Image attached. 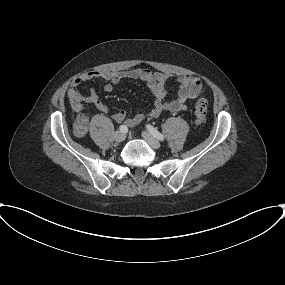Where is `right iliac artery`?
<instances>
[{
	"mask_svg": "<svg viewBox=\"0 0 285 285\" xmlns=\"http://www.w3.org/2000/svg\"><path fill=\"white\" fill-rule=\"evenodd\" d=\"M119 130L121 131V132H127V130H128V128H127V126H125V125H121L120 127H119Z\"/></svg>",
	"mask_w": 285,
	"mask_h": 285,
	"instance_id": "82829eb1",
	"label": "right iliac artery"
}]
</instances>
